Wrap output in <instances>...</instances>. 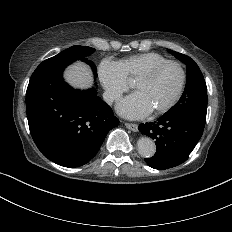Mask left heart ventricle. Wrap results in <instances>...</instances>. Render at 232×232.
Instances as JSON below:
<instances>
[{
  "label": "left heart ventricle",
  "instance_id": "b2bd125f",
  "mask_svg": "<svg viewBox=\"0 0 232 232\" xmlns=\"http://www.w3.org/2000/svg\"><path fill=\"white\" fill-rule=\"evenodd\" d=\"M181 72L175 65L163 67L152 79L137 82L134 89L141 93L153 111L168 104L181 84Z\"/></svg>",
  "mask_w": 232,
  "mask_h": 232
}]
</instances>
